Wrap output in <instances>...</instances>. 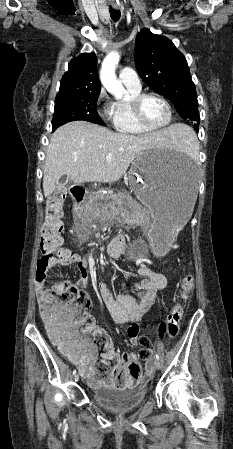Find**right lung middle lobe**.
<instances>
[{
    "label": "right lung middle lobe",
    "instance_id": "obj_1",
    "mask_svg": "<svg viewBox=\"0 0 233 449\" xmlns=\"http://www.w3.org/2000/svg\"><path fill=\"white\" fill-rule=\"evenodd\" d=\"M100 92L83 94L57 95L55 100V112L52 119V128L74 120L102 124L96 109V103Z\"/></svg>",
    "mask_w": 233,
    "mask_h": 449
}]
</instances>
